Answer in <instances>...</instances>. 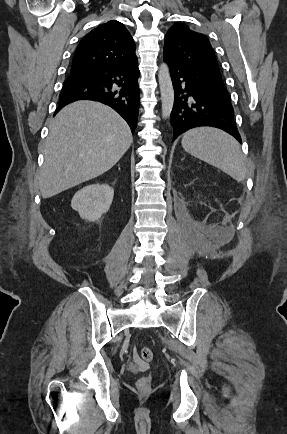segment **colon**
Listing matches in <instances>:
<instances>
[{"instance_id":"colon-1","label":"colon","mask_w":287,"mask_h":434,"mask_svg":"<svg viewBox=\"0 0 287 434\" xmlns=\"http://www.w3.org/2000/svg\"><path fill=\"white\" fill-rule=\"evenodd\" d=\"M136 359L139 361H144L146 363H151L153 360V353L150 348L143 347L141 348L137 355ZM151 381L152 377L150 375L142 376L137 381V389L141 393H148L151 389Z\"/></svg>"}]
</instances>
